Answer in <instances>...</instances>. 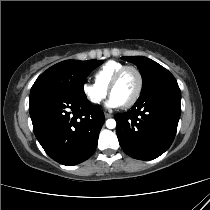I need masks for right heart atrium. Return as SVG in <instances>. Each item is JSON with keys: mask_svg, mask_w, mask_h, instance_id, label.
Instances as JSON below:
<instances>
[{"mask_svg": "<svg viewBox=\"0 0 210 210\" xmlns=\"http://www.w3.org/2000/svg\"><path fill=\"white\" fill-rule=\"evenodd\" d=\"M81 90L86 100L93 105H99L107 95L106 89L91 82H84L81 86Z\"/></svg>", "mask_w": 210, "mask_h": 210, "instance_id": "1", "label": "right heart atrium"}]
</instances>
